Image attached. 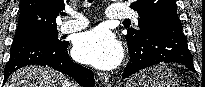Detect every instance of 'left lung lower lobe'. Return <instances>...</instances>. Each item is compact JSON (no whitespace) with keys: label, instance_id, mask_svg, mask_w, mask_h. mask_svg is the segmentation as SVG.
Here are the masks:
<instances>
[{"label":"left lung lower lobe","instance_id":"left-lung-lower-lobe-1","mask_svg":"<svg viewBox=\"0 0 205 87\" xmlns=\"http://www.w3.org/2000/svg\"><path fill=\"white\" fill-rule=\"evenodd\" d=\"M128 47L130 60L122 78H128L141 69L161 62L179 63L195 72L178 16L168 15L156 20L149 27L142 42Z\"/></svg>","mask_w":205,"mask_h":87}]
</instances>
